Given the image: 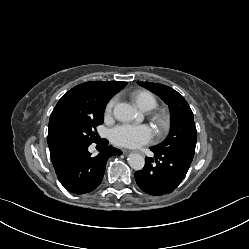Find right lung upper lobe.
<instances>
[{
  "instance_id": "1",
  "label": "right lung upper lobe",
  "mask_w": 249,
  "mask_h": 249,
  "mask_svg": "<svg viewBox=\"0 0 249 249\" xmlns=\"http://www.w3.org/2000/svg\"><path fill=\"white\" fill-rule=\"evenodd\" d=\"M126 84L119 81L85 82L61 97L49 120L48 146L52 163L69 150L63 136L64 126L71 121L94 117Z\"/></svg>"
}]
</instances>
